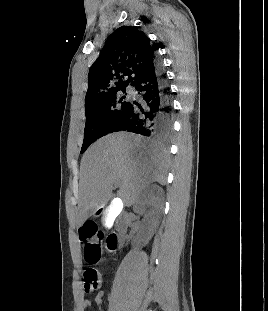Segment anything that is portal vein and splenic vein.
Listing matches in <instances>:
<instances>
[{
  "mask_svg": "<svg viewBox=\"0 0 268 311\" xmlns=\"http://www.w3.org/2000/svg\"><path fill=\"white\" fill-rule=\"evenodd\" d=\"M115 186H118V182H116Z\"/></svg>",
  "mask_w": 268,
  "mask_h": 311,
  "instance_id": "1",
  "label": "portal vein and splenic vein"
}]
</instances>
